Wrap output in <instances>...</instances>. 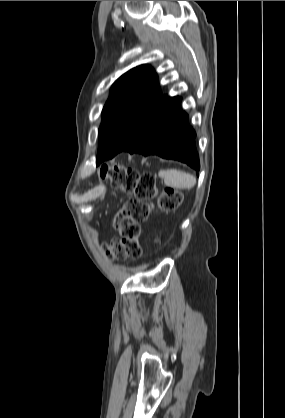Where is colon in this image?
<instances>
[{
	"mask_svg": "<svg viewBox=\"0 0 285 418\" xmlns=\"http://www.w3.org/2000/svg\"><path fill=\"white\" fill-rule=\"evenodd\" d=\"M99 173L103 179L111 180L129 195L114 220L118 235L101 245L103 254L107 258L139 259L143 252L140 243L141 223L147 220L155 207L167 212L176 210L183 200V194L166 186L158 191L152 174H136L120 164L103 166Z\"/></svg>",
	"mask_w": 285,
	"mask_h": 418,
	"instance_id": "colon-1",
	"label": "colon"
}]
</instances>
